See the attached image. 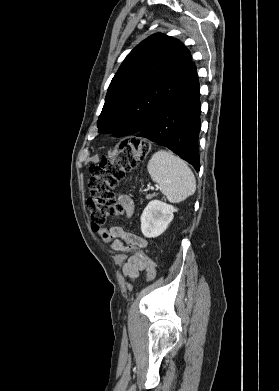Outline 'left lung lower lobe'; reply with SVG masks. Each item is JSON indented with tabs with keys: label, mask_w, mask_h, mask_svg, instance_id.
<instances>
[{
	"label": "left lung lower lobe",
	"mask_w": 279,
	"mask_h": 391,
	"mask_svg": "<svg viewBox=\"0 0 279 391\" xmlns=\"http://www.w3.org/2000/svg\"><path fill=\"white\" fill-rule=\"evenodd\" d=\"M200 114V89L196 72L188 85L137 136L166 146L199 170Z\"/></svg>",
	"instance_id": "left-lung-lower-lobe-1"
}]
</instances>
